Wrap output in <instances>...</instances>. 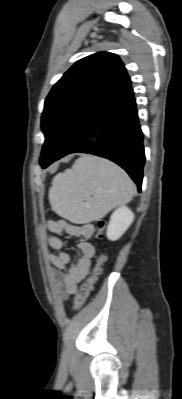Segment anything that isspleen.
Returning <instances> with one entry per match:
<instances>
[{"label": "spleen", "instance_id": "3e777b00", "mask_svg": "<svg viewBox=\"0 0 182 399\" xmlns=\"http://www.w3.org/2000/svg\"><path fill=\"white\" fill-rule=\"evenodd\" d=\"M135 185L115 163L84 155L71 169L57 174L49 189L52 209L73 223H88L104 217L116 206L128 203Z\"/></svg>", "mask_w": 182, "mask_h": 399}]
</instances>
